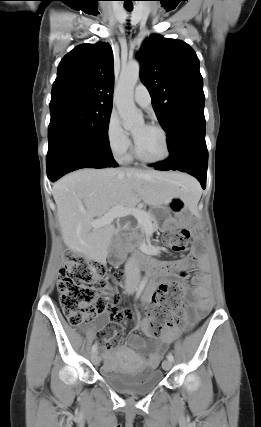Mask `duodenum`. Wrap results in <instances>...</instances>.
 Segmentation results:
<instances>
[{"label": "duodenum", "mask_w": 261, "mask_h": 427, "mask_svg": "<svg viewBox=\"0 0 261 427\" xmlns=\"http://www.w3.org/2000/svg\"><path fill=\"white\" fill-rule=\"evenodd\" d=\"M134 263L141 268H156L158 269V262L151 259L150 257L142 254L136 253L133 258Z\"/></svg>", "instance_id": "1"}]
</instances>
